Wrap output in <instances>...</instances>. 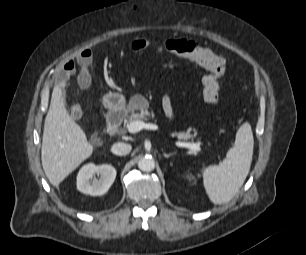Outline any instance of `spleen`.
<instances>
[{
    "instance_id": "1",
    "label": "spleen",
    "mask_w": 306,
    "mask_h": 255,
    "mask_svg": "<svg viewBox=\"0 0 306 255\" xmlns=\"http://www.w3.org/2000/svg\"><path fill=\"white\" fill-rule=\"evenodd\" d=\"M253 133L251 125L244 122L236 133L235 144L219 165L208 166L203 171L206 193L215 205L229 202L243 185L252 162Z\"/></svg>"
}]
</instances>
